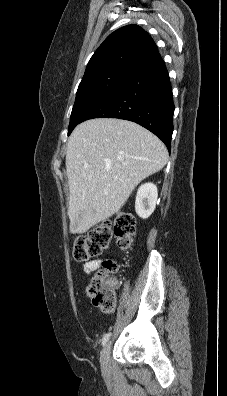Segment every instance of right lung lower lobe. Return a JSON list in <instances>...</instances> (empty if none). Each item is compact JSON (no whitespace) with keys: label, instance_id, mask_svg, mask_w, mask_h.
I'll return each instance as SVG.
<instances>
[{"label":"right lung lower lobe","instance_id":"right-lung-lower-lobe-1","mask_svg":"<svg viewBox=\"0 0 227 396\" xmlns=\"http://www.w3.org/2000/svg\"><path fill=\"white\" fill-rule=\"evenodd\" d=\"M174 103L170 78L160 54L134 69L84 116L133 121L158 136L171 149Z\"/></svg>","mask_w":227,"mask_h":396}]
</instances>
